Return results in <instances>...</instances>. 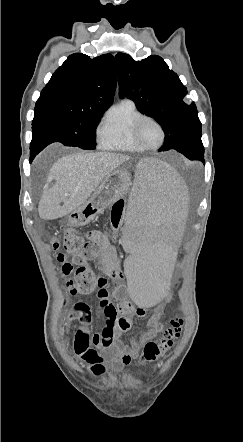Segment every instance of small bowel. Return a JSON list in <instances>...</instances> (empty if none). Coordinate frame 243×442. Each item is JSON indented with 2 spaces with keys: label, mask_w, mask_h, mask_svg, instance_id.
I'll list each match as a JSON object with an SVG mask.
<instances>
[{
  "label": "small bowel",
  "mask_w": 243,
  "mask_h": 442,
  "mask_svg": "<svg viewBox=\"0 0 243 442\" xmlns=\"http://www.w3.org/2000/svg\"><path fill=\"white\" fill-rule=\"evenodd\" d=\"M90 241L87 257L98 261L105 274L116 283L114 304L110 299L109 283L105 276H98L97 304L93 308L84 301H78L66 312L67 327L77 320L80 323L74 338V353L77 358L88 365L91 373L103 377L111 372L118 373L132 360L138 357L143 345L155 338L162 330V308L155 307L147 321V330L139 337H133L129 344L122 342L121 337L131 327L132 305L126 296V285L122 282V267L117 252L109 243L108 233L92 230L86 234ZM135 312L144 315V309L137 307ZM101 318L103 327L92 332L90 325L94 315Z\"/></svg>",
  "instance_id": "obj_1"
}]
</instances>
